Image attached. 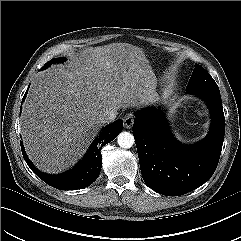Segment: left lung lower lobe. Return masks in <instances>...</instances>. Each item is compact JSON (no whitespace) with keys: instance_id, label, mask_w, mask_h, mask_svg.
<instances>
[{"instance_id":"0a47b994","label":"left lung lower lobe","mask_w":241,"mask_h":241,"mask_svg":"<svg viewBox=\"0 0 241 241\" xmlns=\"http://www.w3.org/2000/svg\"><path fill=\"white\" fill-rule=\"evenodd\" d=\"M211 112V130L200 143L184 146L168 130L165 117L156 108L135 113L132 127L144 182L166 196H179L200 187L213 175L220 158L225 118L219 90L192 89Z\"/></svg>"}]
</instances>
